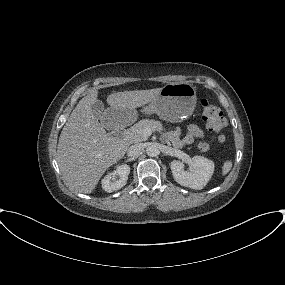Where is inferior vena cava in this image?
<instances>
[{"mask_svg": "<svg viewBox=\"0 0 285 285\" xmlns=\"http://www.w3.org/2000/svg\"><path fill=\"white\" fill-rule=\"evenodd\" d=\"M144 146L142 144H134L129 147L128 155L130 157L138 156L142 153Z\"/></svg>", "mask_w": 285, "mask_h": 285, "instance_id": "obj_1", "label": "inferior vena cava"}]
</instances>
